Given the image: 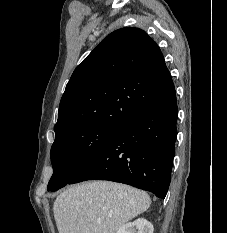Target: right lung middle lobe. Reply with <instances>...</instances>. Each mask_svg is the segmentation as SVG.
I'll return each instance as SVG.
<instances>
[{
	"label": "right lung middle lobe",
	"mask_w": 227,
	"mask_h": 233,
	"mask_svg": "<svg viewBox=\"0 0 227 233\" xmlns=\"http://www.w3.org/2000/svg\"><path fill=\"white\" fill-rule=\"evenodd\" d=\"M118 127L89 125L55 136L51 148L53 175L48 191L66 186L113 136Z\"/></svg>",
	"instance_id": "dd1d6c3e"
}]
</instances>
